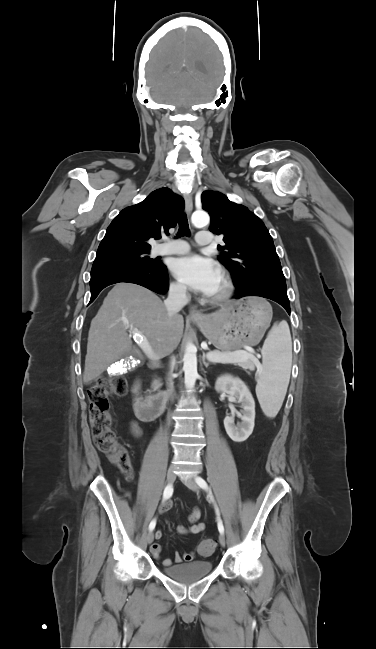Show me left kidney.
<instances>
[{
    "mask_svg": "<svg viewBox=\"0 0 376 649\" xmlns=\"http://www.w3.org/2000/svg\"><path fill=\"white\" fill-rule=\"evenodd\" d=\"M215 389L229 394L230 399L241 403V414L232 410L231 416H226L224 419V427L233 441H245L252 434L255 420V401L251 392L240 378L230 375L217 378ZM234 414L241 418L240 424H234Z\"/></svg>",
    "mask_w": 376,
    "mask_h": 649,
    "instance_id": "5707ae66",
    "label": "left kidney"
}]
</instances>
